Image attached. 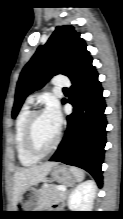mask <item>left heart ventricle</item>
Instances as JSON below:
<instances>
[{"mask_svg":"<svg viewBox=\"0 0 123 219\" xmlns=\"http://www.w3.org/2000/svg\"><path fill=\"white\" fill-rule=\"evenodd\" d=\"M57 133L58 128L45 112L36 118L34 124V140L39 149H47L55 140Z\"/></svg>","mask_w":123,"mask_h":219,"instance_id":"b2bd125f","label":"left heart ventricle"}]
</instances>
